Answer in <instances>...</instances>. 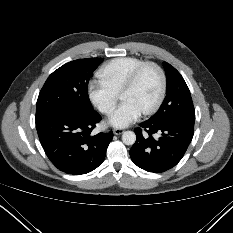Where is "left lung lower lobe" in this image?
<instances>
[{
	"mask_svg": "<svg viewBox=\"0 0 233 233\" xmlns=\"http://www.w3.org/2000/svg\"><path fill=\"white\" fill-rule=\"evenodd\" d=\"M135 129L136 142L130 150V157L138 167L153 173L173 168L184 156L194 134V120L175 119L164 123L149 120ZM158 133L159 138L153 134Z\"/></svg>",
	"mask_w": 233,
	"mask_h": 233,
	"instance_id": "left-lung-lower-lobe-1",
	"label": "left lung lower lobe"
}]
</instances>
